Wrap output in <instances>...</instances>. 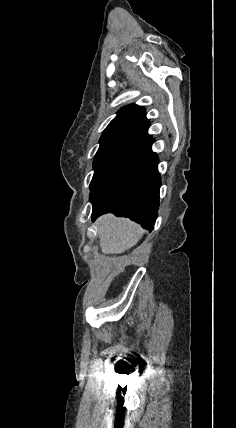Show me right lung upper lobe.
I'll return each instance as SVG.
<instances>
[{"mask_svg":"<svg viewBox=\"0 0 236 428\" xmlns=\"http://www.w3.org/2000/svg\"><path fill=\"white\" fill-rule=\"evenodd\" d=\"M148 127L149 121L143 107L135 104L125 106L104 130L97 152L130 144H145L151 138L147 133Z\"/></svg>","mask_w":236,"mask_h":428,"instance_id":"obj_1","label":"right lung upper lobe"}]
</instances>
